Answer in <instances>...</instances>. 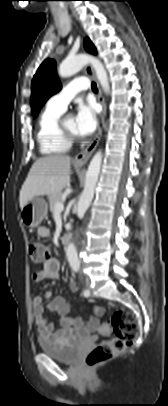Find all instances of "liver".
<instances>
[{
    "instance_id": "obj_1",
    "label": "liver",
    "mask_w": 168,
    "mask_h": 406,
    "mask_svg": "<svg viewBox=\"0 0 168 406\" xmlns=\"http://www.w3.org/2000/svg\"><path fill=\"white\" fill-rule=\"evenodd\" d=\"M70 162L71 158L65 155L37 159L20 190V208L36 196L51 197L60 193L70 182Z\"/></svg>"
}]
</instances>
